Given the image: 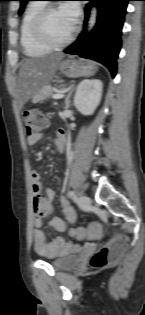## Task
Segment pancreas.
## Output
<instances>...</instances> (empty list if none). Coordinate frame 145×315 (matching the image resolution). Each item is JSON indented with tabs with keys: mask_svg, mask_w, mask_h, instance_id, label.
Wrapping results in <instances>:
<instances>
[{
	"mask_svg": "<svg viewBox=\"0 0 145 315\" xmlns=\"http://www.w3.org/2000/svg\"><path fill=\"white\" fill-rule=\"evenodd\" d=\"M53 89L51 85L45 86L38 94V98L41 100L48 99L53 94Z\"/></svg>",
	"mask_w": 145,
	"mask_h": 315,
	"instance_id": "1",
	"label": "pancreas"
}]
</instances>
